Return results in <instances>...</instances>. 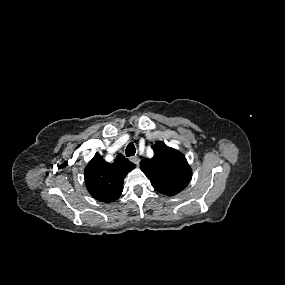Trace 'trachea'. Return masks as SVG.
<instances>
[{"instance_id":"trachea-1","label":"trachea","mask_w":285,"mask_h":285,"mask_svg":"<svg viewBox=\"0 0 285 285\" xmlns=\"http://www.w3.org/2000/svg\"><path fill=\"white\" fill-rule=\"evenodd\" d=\"M126 156L130 157V156H134L136 153V148L134 146V144L132 142H130L125 150Z\"/></svg>"}]
</instances>
